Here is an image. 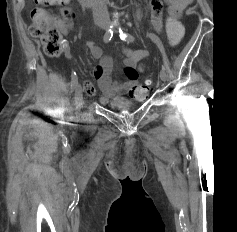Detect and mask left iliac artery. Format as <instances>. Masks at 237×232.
Returning a JSON list of instances; mask_svg holds the SVG:
<instances>
[{
  "instance_id": "left-iliac-artery-1",
  "label": "left iliac artery",
  "mask_w": 237,
  "mask_h": 232,
  "mask_svg": "<svg viewBox=\"0 0 237 232\" xmlns=\"http://www.w3.org/2000/svg\"><path fill=\"white\" fill-rule=\"evenodd\" d=\"M119 33H120V38L122 40L127 41V42L134 41V37L132 35L123 33L121 29L119 30ZM148 36L150 37V39L152 41H154L156 43V45L160 49L161 53H164V46H163L161 40L159 39V37L156 36L155 34H148Z\"/></svg>"
}]
</instances>
